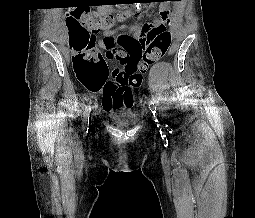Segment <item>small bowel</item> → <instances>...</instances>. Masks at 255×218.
<instances>
[{
    "label": "small bowel",
    "mask_w": 255,
    "mask_h": 218,
    "mask_svg": "<svg viewBox=\"0 0 255 218\" xmlns=\"http://www.w3.org/2000/svg\"><path fill=\"white\" fill-rule=\"evenodd\" d=\"M163 11H166L167 14H168V6H167L166 4H162V5L159 6L158 15H159L160 17H161V13H162ZM160 21H161L160 19H157V18L154 19V22H155V23H158V22H160ZM139 29H140V27H138V26H132L131 28L128 29V32H129L130 34H133V35H134V34H136V33L138 32ZM113 35H114V33H113L112 31H104L103 34H102V36L98 39V46H99L100 48H103V49L105 48V49H107V47H108V42H109V40L113 39ZM120 63H121L122 65L125 64L124 61H120ZM144 70H145V69H144ZM144 70H143V71H144ZM104 100H105V98H104V96H103L102 105H103L104 109H105V110H110L107 106H105ZM127 108H131V107H127Z\"/></svg>",
    "instance_id": "obj_1"
}]
</instances>
